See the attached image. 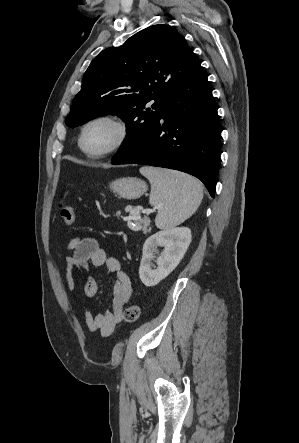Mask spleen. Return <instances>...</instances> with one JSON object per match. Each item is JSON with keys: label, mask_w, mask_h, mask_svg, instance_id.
I'll return each mask as SVG.
<instances>
[{"label": "spleen", "mask_w": 299, "mask_h": 443, "mask_svg": "<svg viewBox=\"0 0 299 443\" xmlns=\"http://www.w3.org/2000/svg\"><path fill=\"white\" fill-rule=\"evenodd\" d=\"M140 173L151 183L150 204L157 206L155 224L170 229L188 219L199 207L203 187L195 178L172 170L145 166Z\"/></svg>", "instance_id": "3e777b00"}]
</instances>
